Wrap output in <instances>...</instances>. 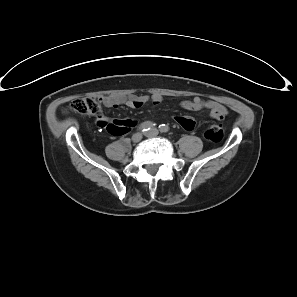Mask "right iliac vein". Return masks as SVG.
<instances>
[{"label": "right iliac vein", "mask_w": 297, "mask_h": 297, "mask_svg": "<svg viewBox=\"0 0 297 297\" xmlns=\"http://www.w3.org/2000/svg\"><path fill=\"white\" fill-rule=\"evenodd\" d=\"M142 139V133L138 132V133H135L133 136H132V141L134 143H138L140 142Z\"/></svg>", "instance_id": "right-iliac-vein-1"}]
</instances>
